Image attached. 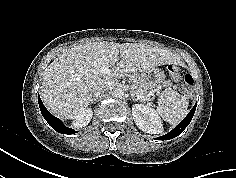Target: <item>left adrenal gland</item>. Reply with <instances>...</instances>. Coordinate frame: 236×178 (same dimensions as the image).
Instances as JSON below:
<instances>
[{"label":"left adrenal gland","instance_id":"a2214340","mask_svg":"<svg viewBox=\"0 0 236 178\" xmlns=\"http://www.w3.org/2000/svg\"><path fill=\"white\" fill-rule=\"evenodd\" d=\"M131 99L133 100V101H141L140 99H138L133 93H131Z\"/></svg>","mask_w":236,"mask_h":178}]
</instances>
